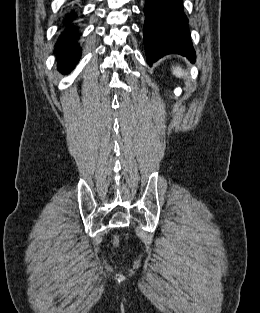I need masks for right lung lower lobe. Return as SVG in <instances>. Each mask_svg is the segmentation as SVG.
<instances>
[{
	"label": "right lung lower lobe",
	"instance_id": "98d812e1",
	"mask_svg": "<svg viewBox=\"0 0 260 313\" xmlns=\"http://www.w3.org/2000/svg\"><path fill=\"white\" fill-rule=\"evenodd\" d=\"M77 13L73 10L66 13L63 18V32L58 38L55 52L58 56V66L63 72H69L74 69L81 56V48L77 43L79 33L74 21Z\"/></svg>",
	"mask_w": 260,
	"mask_h": 313
}]
</instances>
